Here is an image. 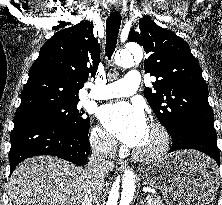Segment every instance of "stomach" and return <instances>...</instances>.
Here are the masks:
<instances>
[{"instance_id":"0dacf381","label":"stomach","mask_w":222,"mask_h":205,"mask_svg":"<svg viewBox=\"0 0 222 205\" xmlns=\"http://www.w3.org/2000/svg\"><path fill=\"white\" fill-rule=\"evenodd\" d=\"M145 184L159 189L168 205H208L218 189L213 162L195 151L167 155L149 166Z\"/></svg>"}]
</instances>
